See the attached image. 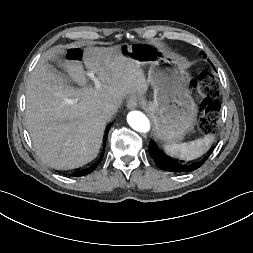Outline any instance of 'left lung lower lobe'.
<instances>
[{
	"label": "left lung lower lobe",
	"instance_id": "1",
	"mask_svg": "<svg viewBox=\"0 0 253 253\" xmlns=\"http://www.w3.org/2000/svg\"><path fill=\"white\" fill-rule=\"evenodd\" d=\"M149 153L153 160L155 161L156 165L165 171L169 172H174V173H187V172H192L199 167H201L204 164L205 160H202L197 163H192V164H180L174 161L173 159H170L166 157L165 155L161 154L158 152L156 149L153 147L149 148Z\"/></svg>",
	"mask_w": 253,
	"mask_h": 253
}]
</instances>
